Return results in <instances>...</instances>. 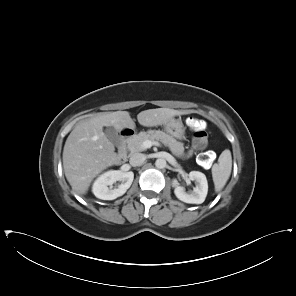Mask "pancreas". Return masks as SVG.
I'll list each match as a JSON object with an SVG mask.
<instances>
[{
  "label": "pancreas",
  "mask_w": 296,
  "mask_h": 296,
  "mask_svg": "<svg viewBox=\"0 0 296 296\" xmlns=\"http://www.w3.org/2000/svg\"><path fill=\"white\" fill-rule=\"evenodd\" d=\"M145 140L151 141H159L165 146H167L173 155L176 157H183L184 156V144L182 142L177 141L172 136L166 134L163 131H154L150 130L148 132H140L138 135H135L132 138L130 143L133 151H142L144 148L142 147V143Z\"/></svg>",
  "instance_id": "obj_1"
}]
</instances>
